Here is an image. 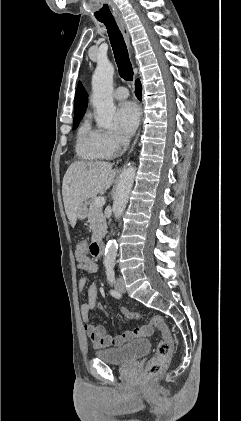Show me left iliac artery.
Segmentation results:
<instances>
[{"label":"left iliac artery","instance_id":"44dca946","mask_svg":"<svg viewBox=\"0 0 241 421\" xmlns=\"http://www.w3.org/2000/svg\"><path fill=\"white\" fill-rule=\"evenodd\" d=\"M107 280L110 284H112L115 280V272L113 269H108L106 272Z\"/></svg>","mask_w":241,"mask_h":421}]
</instances>
